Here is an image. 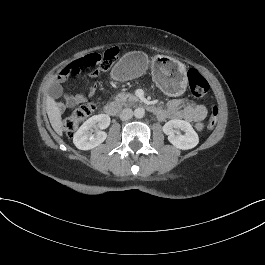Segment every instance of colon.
<instances>
[{
  "instance_id": "colon-1",
  "label": "colon",
  "mask_w": 265,
  "mask_h": 265,
  "mask_svg": "<svg viewBox=\"0 0 265 265\" xmlns=\"http://www.w3.org/2000/svg\"><path fill=\"white\" fill-rule=\"evenodd\" d=\"M117 54L118 51L115 48H111L102 54L91 53L85 55L64 67L60 71L58 78L64 80L87 69H94L97 72L106 71L114 64ZM187 78L190 92L194 97L203 98L208 93L209 83L197 70L190 69L187 73ZM94 109L95 105L91 103L83 104L75 108L70 115L63 120V130L65 133L72 136L81 123L93 113ZM218 113V107L213 106L206 125L208 130L215 128Z\"/></svg>"
}]
</instances>
